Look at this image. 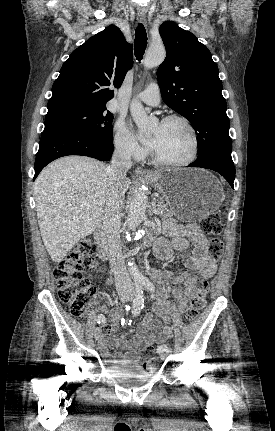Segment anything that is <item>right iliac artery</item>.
<instances>
[{
  "instance_id": "right-iliac-artery-1",
  "label": "right iliac artery",
  "mask_w": 275,
  "mask_h": 431,
  "mask_svg": "<svg viewBox=\"0 0 275 431\" xmlns=\"http://www.w3.org/2000/svg\"><path fill=\"white\" fill-rule=\"evenodd\" d=\"M144 307V298H143V285L137 284L135 289V297L133 300L132 313L134 316H138L141 312V309ZM106 320L105 316L102 314L98 315L97 323L102 324Z\"/></svg>"
}]
</instances>
